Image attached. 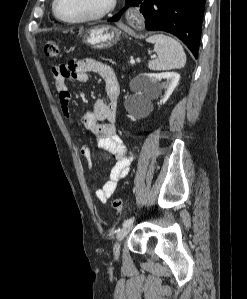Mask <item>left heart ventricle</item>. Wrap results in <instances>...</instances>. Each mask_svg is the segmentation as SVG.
I'll use <instances>...</instances> for the list:
<instances>
[{
    "label": "left heart ventricle",
    "instance_id": "left-heart-ventricle-1",
    "mask_svg": "<svg viewBox=\"0 0 247 299\" xmlns=\"http://www.w3.org/2000/svg\"><path fill=\"white\" fill-rule=\"evenodd\" d=\"M107 0H59L58 13L66 19H76L98 12Z\"/></svg>",
    "mask_w": 247,
    "mask_h": 299
}]
</instances>
